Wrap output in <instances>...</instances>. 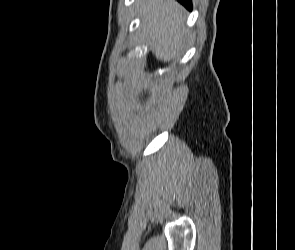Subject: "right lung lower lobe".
I'll return each instance as SVG.
<instances>
[{
    "label": "right lung lower lobe",
    "mask_w": 295,
    "mask_h": 250,
    "mask_svg": "<svg viewBox=\"0 0 295 250\" xmlns=\"http://www.w3.org/2000/svg\"><path fill=\"white\" fill-rule=\"evenodd\" d=\"M181 4H183L187 9H192L191 0H178Z\"/></svg>",
    "instance_id": "1"
}]
</instances>
